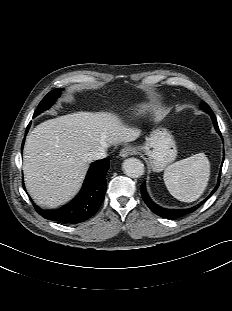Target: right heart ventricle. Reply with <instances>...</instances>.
<instances>
[{
	"mask_svg": "<svg viewBox=\"0 0 232 311\" xmlns=\"http://www.w3.org/2000/svg\"><path fill=\"white\" fill-rule=\"evenodd\" d=\"M138 113H139V112L136 111V112H134V115H137Z\"/></svg>",
	"mask_w": 232,
	"mask_h": 311,
	"instance_id": "obj_1",
	"label": "right heart ventricle"
}]
</instances>
